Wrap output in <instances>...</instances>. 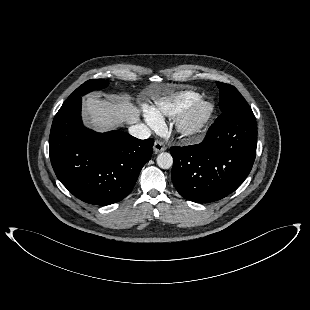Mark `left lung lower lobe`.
<instances>
[{"label":"left lung lower lobe","mask_w":310,"mask_h":310,"mask_svg":"<svg viewBox=\"0 0 310 310\" xmlns=\"http://www.w3.org/2000/svg\"><path fill=\"white\" fill-rule=\"evenodd\" d=\"M256 146L257 126L250 107L220 115L200 144L170 148L172 182L190 201L222 199L250 173Z\"/></svg>","instance_id":"obj_1"}]
</instances>
